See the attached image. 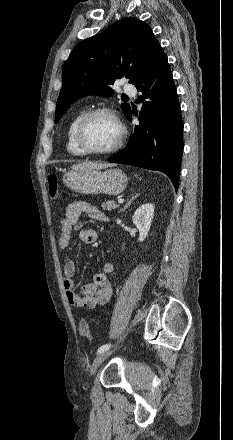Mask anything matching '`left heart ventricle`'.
Returning <instances> with one entry per match:
<instances>
[{
	"mask_svg": "<svg viewBox=\"0 0 233 440\" xmlns=\"http://www.w3.org/2000/svg\"><path fill=\"white\" fill-rule=\"evenodd\" d=\"M118 127L108 115H97L86 124L83 132L84 144L94 150L110 148L117 140Z\"/></svg>",
	"mask_w": 233,
	"mask_h": 440,
	"instance_id": "left-heart-ventricle-1",
	"label": "left heart ventricle"
}]
</instances>
